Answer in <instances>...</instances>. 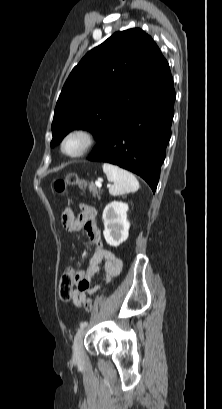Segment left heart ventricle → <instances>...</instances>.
Listing matches in <instances>:
<instances>
[{
    "label": "left heart ventricle",
    "instance_id": "1",
    "mask_svg": "<svg viewBox=\"0 0 222 409\" xmlns=\"http://www.w3.org/2000/svg\"><path fill=\"white\" fill-rule=\"evenodd\" d=\"M82 145V139L80 137L71 138L66 144V149L69 152H74L78 150Z\"/></svg>",
    "mask_w": 222,
    "mask_h": 409
}]
</instances>
